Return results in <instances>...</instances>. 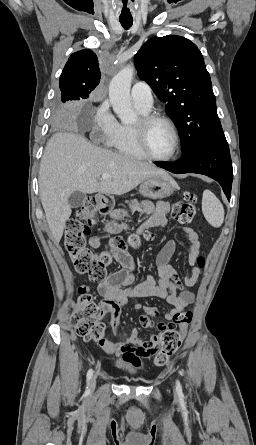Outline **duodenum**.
<instances>
[{
	"label": "duodenum",
	"mask_w": 256,
	"mask_h": 445,
	"mask_svg": "<svg viewBox=\"0 0 256 445\" xmlns=\"http://www.w3.org/2000/svg\"><path fill=\"white\" fill-rule=\"evenodd\" d=\"M97 208L100 214L108 215L112 209V202L108 197L105 196H97L96 197Z\"/></svg>",
	"instance_id": "obj_1"
}]
</instances>
